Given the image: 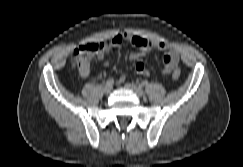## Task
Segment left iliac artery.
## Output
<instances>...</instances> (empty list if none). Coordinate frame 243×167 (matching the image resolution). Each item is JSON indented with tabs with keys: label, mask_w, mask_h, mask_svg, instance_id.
Returning <instances> with one entry per match:
<instances>
[{
	"label": "left iliac artery",
	"mask_w": 243,
	"mask_h": 167,
	"mask_svg": "<svg viewBox=\"0 0 243 167\" xmlns=\"http://www.w3.org/2000/svg\"><path fill=\"white\" fill-rule=\"evenodd\" d=\"M141 85H142V86H148V81H146V80L142 81V82H141Z\"/></svg>",
	"instance_id": "left-iliac-artery-1"
}]
</instances>
